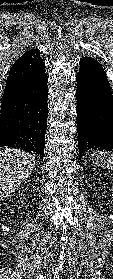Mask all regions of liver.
Returning <instances> with one entry per match:
<instances>
[{
    "mask_svg": "<svg viewBox=\"0 0 113 279\" xmlns=\"http://www.w3.org/2000/svg\"><path fill=\"white\" fill-rule=\"evenodd\" d=\"M36 156L20 149L0 150V202L11 196L32 173Z\"/></svg>",
    "mask_w": 113,
    "mask_h": 279,
    "instance_id": "6515ba94",
    "label": "liver"
}]
</instances>
